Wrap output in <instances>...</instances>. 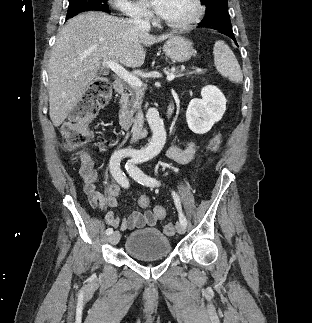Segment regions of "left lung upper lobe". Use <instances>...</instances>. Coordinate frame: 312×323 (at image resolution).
<instances>
[{
	"label": "left lung upper lobe",
	"instance_id": "left-lung-upper-lobe-1",
	"mask_svg": "<svg viewBox=\"0 0 312 323\" xmlns=\"http://www.w3.org/2000/svg\"><path fill=\"white\" fill-rule=\"evenodd\" d=\"M206 6V14L201 21L202 26L216 28L221 24L231 25L227 0H201Z\"/></svg>",
	"mask_w": 312,
	"mask_h": 323
}]
</instances>
